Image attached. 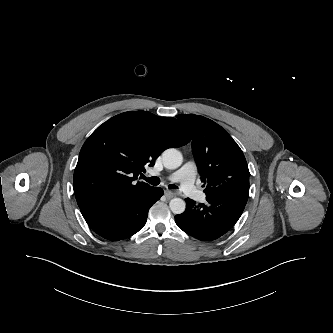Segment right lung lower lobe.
<instances>
[{"mask_svg": "<svg viewBox=\"0 0 333 333\" xmlns=\"http://www.w3.org/2000/svg\"><path fill=\"white\" fill-rule=\"evenodd\" d=\"M163 195L152 187L138 198L127 201H95L80 206L90 228L101 237L116 241L132 236L146 223L150 207Z\"/></svg>", "mask_w": 333, "mask_h": 333, "instance_id": "1", "label": "right lung lower lobe"}]
</instances>
